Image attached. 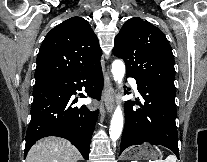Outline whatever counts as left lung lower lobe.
<instances>
[{
    "mask_svg": "<svg viewBox=\"0 0 207 162\" xmlns=\"http://www.w3.org/2000/svg\"><path fill=\"white\" fill-rule=\"evenodd\" d=\"M127 77L133 76L127 74ZM136 82L145 102L141 104L136 101L140 106L138 109L134 108L133 101H128L125 105L126 121L120 153L129 146L149 142L169 148L178 157L175 88L143 84L138 80Z\"/></svg>",
    "mask_w": 207,
    "mask_h": 162,
    "instance_id": "obj_1",
    "label": "left lung lower lobe"
}]
</instances>
